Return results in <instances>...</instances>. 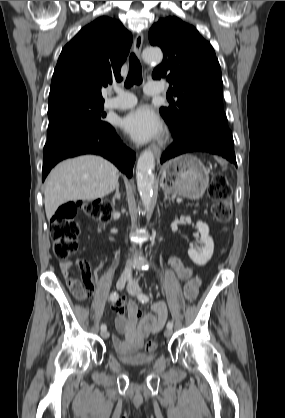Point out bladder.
<instances>
[{"label": "bladder", "mask_w": 285, "mask_h": 418, "mask_svg": "<svg viewBox=\"0 0 285 418\" xmlns=\"http://www.w3.org/2000/svg\"><path fill=\"white\" fill-rule=\"evenodd\" d=\"M115 354L117 359L127 365L132 367H142L148 366L155 362L156 354L154 351L148 353L141 352H123L115 349Z\"/></svg>", "instance_id": "1"}]
</instances>
